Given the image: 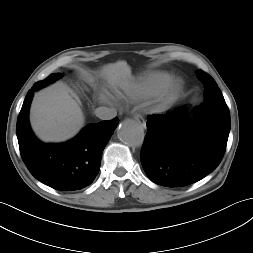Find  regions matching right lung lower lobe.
Listing matches in <instances>:
<instances>
[{"label":"right lung lower lobe","instance_id":"1","mask_svg":"<svg viewBox=\"0 0 253 253\" xmlns=\"http://www.w3.org/2000/svg\"><path fill=\"white\" fill-rule=\"evenodd\" d=\"M36 90L28 91L17 120L16 133L25 165L37 180L56 190L74 191L90 185L119 119L89 124L68 142L44 144L34 136L28 120Z\"/></svg>","mask_w":253,"mask_h":253}]
</instances>
